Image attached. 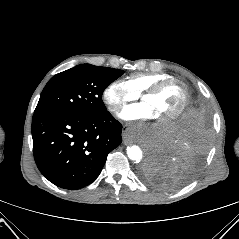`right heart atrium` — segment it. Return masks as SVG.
Returning a JSON list of instances; mask_svg holds the SVG:
<instances>
[{
  "label": "right heart atrium",
  "instance_id": "1",
  "mask_svg": "<svg viewBox=\"0 0 239 239\" xmlns=\"http://www.w3.org/2000/svg\"><path fill=\"white\" fill-rule=\"evenodd\" d=\"M138 96L121 80L112 81L102 92L108 110L114 115H117L126 103L136 100Z\"/></svg>",
  "mask_w": 239,
  "mask_h": 239
}]
</instances>
